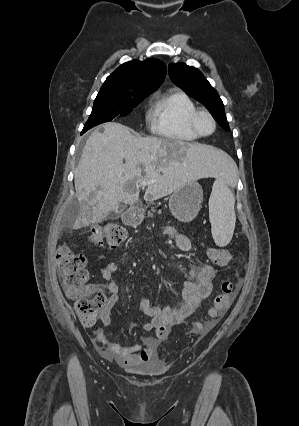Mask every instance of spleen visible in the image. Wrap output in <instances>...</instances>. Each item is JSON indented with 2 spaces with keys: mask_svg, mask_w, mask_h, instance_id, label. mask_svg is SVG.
I'll use <instances>...</instances> for the list:
<instances>
[{
  "mask_svg": "<svg viewBox=\"0 0 299 426\" xmlns=\"http://www.w3.org/2000/svg\"><path fill=\"white\" fill-rule=\"evenodd\" d=\"M234 205V194L226 179L218 177L209 198V218L214 242L219 247L228 245L232 239L236 223Z\"/></svg>",
  "mask_w": 299,
  "mask_h": 426,
  "instance_id": "1",
  "label": "spleen"
}]
</instances>
